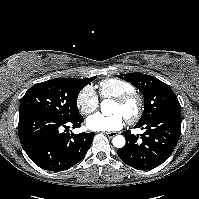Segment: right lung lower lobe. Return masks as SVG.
Segmentation results:
<instances>
[{
  "label": "right lung lower lobe",
  "mask_w": 199,
  "mask_h": 199,
  "mask_svg": "<svg viewBox=\"0 0 199 199\" xmlns=\"http://www.w3.org/2000/svg\"><path fill=\"white\" fill-rule=\"evenodd\" d=\"M83 117L67 121L40 113L19 116L18 133L23 149L39 167L49 171L67 170L77 164L91 146L92 133L63 132L80 127Z\"/></svg>",
  "instance_id": "obj_1"
}]
</instances>
